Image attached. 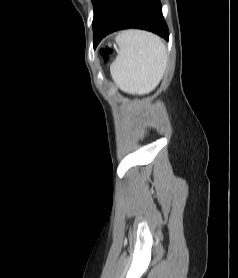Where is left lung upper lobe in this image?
I'll return each instance as SVG.
<instances>
[{"label":"left lung upper lobe","mask_w":238,"mask_h":278,"mask_svg":"<svg viewBox=\"0 0 238 278\" xmlns=\"http://www.w3.org/2000/svg\"><path fill=\"white\" fill-rule=\"evenodd\" d=\"M96 1H97V0H92L93 4H95V3H96Z\"/></svg>","instance_id":"left-lung-upper-lobe-1"}]
</instances>
